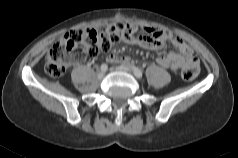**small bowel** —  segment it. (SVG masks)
I'll return each instance as SVG.
<instances>
[{
	"label": "small bowel",
	"instance_id": "c3829d8e",
	"mask_svg": "<svg viewBox=\"0 0 238 158\" xmlns=\"http://www.w3.org/2000/svg\"><path fill=\"white\" fill-rule=\"evenodd\" d=\"M134 34L131 39L126 42L138 45L149 50H159L164 47L166 43H170L177 49V53L168 52L157 58V63L165 68L177 71L191 65H198L199 61L194 55L190 46L178 36L155 27H143L142 32L139 33L136 26H132ZM107 60L111 63H126L129 61L127 56H120L117 54H110Z\"/></svg>",
	"mask_w": 238,
	"mask_h": 158
}]
</instances>
